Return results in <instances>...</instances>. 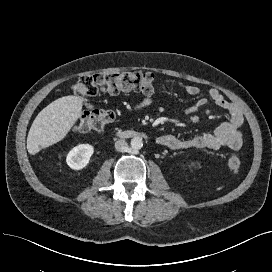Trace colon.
I'll list each match as a JSON object with an SVG mask.
<instances>
[{
    "mask_svg": "<svg viewBox=\"0 0 272 272\" xmlns=\"http://www.w3.org/2000/svg\"><path fill=\"white\" fill-rule=\"evenodd\" d=\"M154 90V77L149 73H112L82 76L72 86L73 93L80 97H93L101 93L119 94L137 91L146 95ZM115 119V113L108 108H99L84 112L75 125L78 132L100 131ZM227 166L232 171L243 167V161L236 155L227 159Z\"/></svg>",
    "mask_w": 272,
    "mask_h": 272,
    "instance_id": "obj_1",
    "label": "colon"
}]
</instances>
